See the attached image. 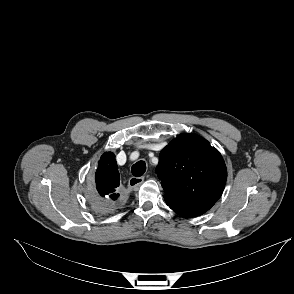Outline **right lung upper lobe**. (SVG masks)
Masks as SVG:
<instances>
[{
  "mask_svg": "<svg viewBox=\"0 0 294 294\" xmlns=\"http://www.w3.org/2000/svg\"><path fill=\"white\" fill-rule=\"evenodd\" d=\"M119 180L115 155L112 152L104 153L98 162L95 182L98 194L111 205L117 204L114 201L119 197L117 193Z\"/></svg>",
  "mask_w": 294,
  "mask_h": 294,
  "instance_id": "obj_1",
  "label": "right lung upper lobe"
}]
</instances>
